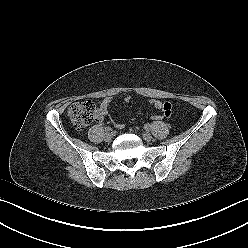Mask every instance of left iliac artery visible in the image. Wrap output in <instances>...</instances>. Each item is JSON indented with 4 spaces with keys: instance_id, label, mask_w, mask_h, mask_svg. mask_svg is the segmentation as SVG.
I'll list each match as a JSON object with an SVG mask.
<instances>
[{
    "instance_id": "44dca946",
    "label": "left iliac artery",
    "mask_w": 248,
    "mask_h": 248,
    "mask_svg": "<svg viewBox=\"0 0 248 248\" xmlns=\"http://www.w3.org/2000/svg\"><path fill=\"white\" fill-rule=\"evenodd\" d=\"M150 127H151V126H150L149 124H146V125H145V129H146V130H150Z\"/></svg>"
}]
</instances>
